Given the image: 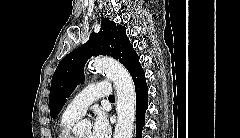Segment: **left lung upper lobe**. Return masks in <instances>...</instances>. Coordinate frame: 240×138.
Instances as JSON below:
<instances>
[{
	"label": "left lung upper lobe",
	"mask_w": 240,
	"mask_h": 138,
	"mask_svg": "<svg viewBox=\"0 0 240 138\" xmlns=\"http://www.w3.org/2000/svg\"><path fill=\"white\" fill-rule=\"evenodd\" d=\"M126 28L115 25L108 18L101 22L98 33L93 32L89 40L66 55L53 74L49 95L50 114L56 117L75 87L84 79V65L91 56L109 55L119 60L126 68L135 57Z\"/></svg>",
	"instance_id": "left-lung-upper-lobe-1"
}]
</instances>
